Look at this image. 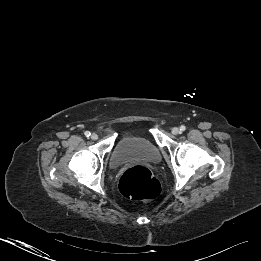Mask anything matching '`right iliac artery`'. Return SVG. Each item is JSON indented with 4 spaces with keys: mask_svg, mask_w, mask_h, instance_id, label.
I'll return each instance as SVG.
<instances>
[{
    "mask_svg": "<svg viewBox=\"0 0 261 261\" xmlns=\"http://www.w3.org/2000/svg\"><path fill=\"white\" fill-rule=\"evenodd\" d=\"M84 134L86 137H89L91 135V133L89 131H86Z\"/></svg>",
    "mask_w": 261,
    "mask_h": 261,
    "instance_id": "obj_1",
    "label": "right iliac artery"
}]
</instances>
